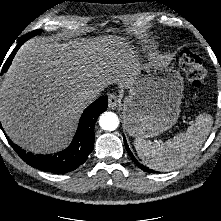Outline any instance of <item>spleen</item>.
Segmentation results:
<instances>
[{
	"instance_id": "obj_1",
	"label": "spleen",
	"mask_w": 221,
	"mask_h": 221,
	"mask_svg": "<svg viewBox=\"0 0 221 221\" xmlns=\"http://www.w3.org/2000/svg\"><path fill=\"white\" fill-rule=\"evenodd\" d=\"M212 124L210 114H200L186 132H181L164 143L135 138L134 146L147 167L156 171H170L195 155L208 136Z\"/></svg>"
}]
</instances>
